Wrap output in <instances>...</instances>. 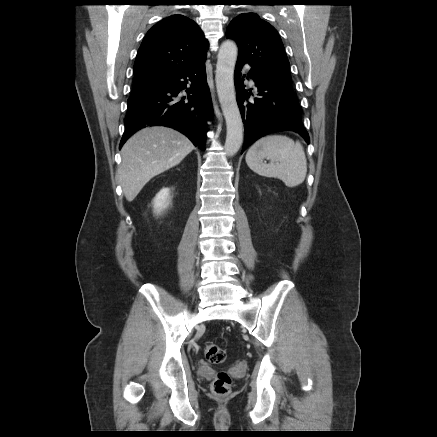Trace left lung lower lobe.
Returning a JSON list of instances; mask_svg holds the SVG:
<instances>
[{
	"mask_svg": "<svg viewBox=\"0 0 437 437\" xmlns=\"http://www.w3.org/2000/svg\"><path fill=\"white\" fill-rule=\"evenodd\" d=\"M244 64L238 59L234 74V83L238 88L237 103L246 135L242 153L260 137L282 130L295 131L309 143V135L301 120L300 105L294 94L269 83L251 69L247 78L254 80L257 97L249 99L253 93L252 89L248 92L243 87L245 75H241V69Z\"/></svg>",
	"mask_w": 437,
	"mask_h": 437,
	"instance_id": "1",
	"label": "left lung lower lobe"
}]
</instances>
